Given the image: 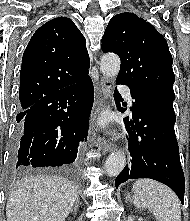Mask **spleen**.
<instances>
[{
    "instance_id": "1",
    "label": "spleen",
    "mask_w": 190,
    "mask_h": 221,
    "mask_svg": "<svg viewBox=\"0 0 190 221\" xmlns=\"http://www.w3.org/2000/svg\"><path fill=\"white\" fill-rule=\"evenodd\" d=\"M133 204L148 208L158 221H181L176 194L165 185L150 179H139L133 185Z\"/></svg>"
}]
</instances>
